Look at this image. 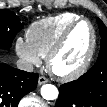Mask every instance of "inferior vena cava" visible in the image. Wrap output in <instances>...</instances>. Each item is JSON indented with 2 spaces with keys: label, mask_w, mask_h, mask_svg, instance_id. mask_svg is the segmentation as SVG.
<instances>
[{
  "label": "inferior vena cava",
  "mask_w": 107,
  "mask_h": 107,
  "mask_svg": "<svg viewBox=\"0 0 107 107\" xmlns=\"http://www.w3.org/2000/svg\"><path fill=\"white\" fill-rule=\"evenodd\" d=\"M16 66L18 69L26 71V72H32L33 71V65L24 59H19L16 62Z\"/></svg>",
  "instance_id": "602c4592"
}]
</instances>
